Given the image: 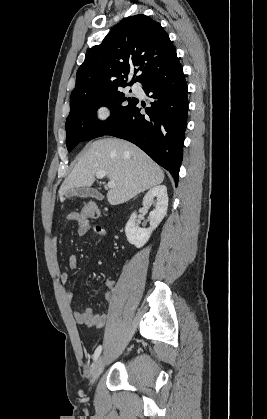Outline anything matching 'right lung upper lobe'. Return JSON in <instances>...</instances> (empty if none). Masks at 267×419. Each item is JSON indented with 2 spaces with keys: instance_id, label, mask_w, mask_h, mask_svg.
Here are the masks:
<instances>
[{
  "instance_id": "cb5924a9",
  "label": "right lung upper lobe",
  "mask_w": 267,
  "mask_h": 419,
  "mask_svg": "<svg viewBox=\"0 0 267 419\" xmlns=\"http://www.w3.org/2000/svg\"><path fill=\"white\" fill-rule=\"evenodd\" d=\"M176 61L175 47L160 23L143 14L127 17L112 28L100 45L87 51L77 71L70 103L141 82L150 73ZM133 70L134 76L138 75L126 84Z\"/></svg>"
}]
</instances>
